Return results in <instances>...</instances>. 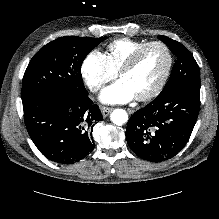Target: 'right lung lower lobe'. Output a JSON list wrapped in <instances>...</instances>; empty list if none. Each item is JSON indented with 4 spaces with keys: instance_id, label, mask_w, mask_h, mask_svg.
<instances>
[{
    "instance_id": "obj_1",
    "label": "right lung lower lobe",
    "mask_w": 219,
    "mask_h": 219,
    "mask_svg": "<svg viewBox=\"0 0 219 219\" xmlns=\"http://www.w3.org/2000/svg\"><path fill=\"white\" fill-rule=\"evenodd\" d=\"M22 102L27 131L49 160L71 164L94 149L91 131L103 118L88 94L60 90Z\"/></svg>"
}]
</instances>
